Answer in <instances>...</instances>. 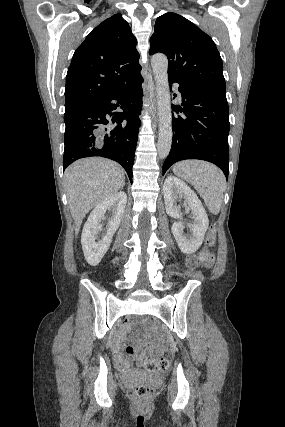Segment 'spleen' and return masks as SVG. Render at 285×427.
<instances>
[{"label":"spleen","mask_w":285,"mask_h":427,"mask_svg":"<svg viewBox=\"0 0 285 427\" xmlns=\"http://www.w3.org/2000/svg\"><path fill=\"white\" fill-rule=\"evenodd\" d=\"M173 172L194 186L212 214L219 213L226 179L217 166L204 161L187 160L176 163Z\"/></svg>","instance_id":"spleen-1"}]
</instances>
